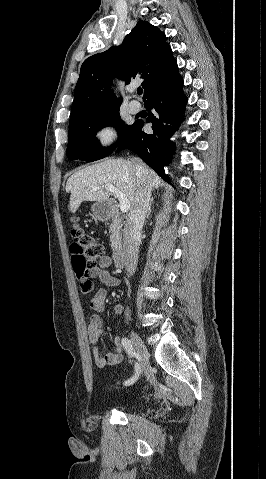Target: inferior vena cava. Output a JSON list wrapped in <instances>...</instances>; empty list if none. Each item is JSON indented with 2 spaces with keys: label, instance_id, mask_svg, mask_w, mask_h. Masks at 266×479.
<instances>
[{
  "label": "inferior vena cava",
  "instance_id": "inferior-vena-cava-1",
  "mask_svg": "<svg viewBox=\"0 0 266 479\" xmlns=\"http://www.w3.org/2000/svg\"><path fill=\"white\" fill-rule=\"evenodd\" d=\"M137 175V191L135 201L130 209L124 227L123 255L127 275H133L138 263V249L141 242V231L151 198L152 185L146 167L138 160L133 161ZM128 315V313L126 314Z\"/></svg>",
  "mask_w": 266,
  "mask_h": 479
}]
</instances>
